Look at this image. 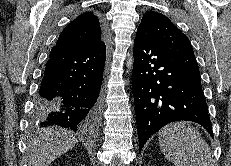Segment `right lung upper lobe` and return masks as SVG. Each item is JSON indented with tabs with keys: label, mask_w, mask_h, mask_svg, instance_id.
Returning <instances> with one entry per match:
<instances>
[{
	"label": "right lung upper lobe",
	"mask_w": 231,
	"mask_h": 166,
	"mask_svg": "<svg viewBox=\"0 0 231 166\" xmlns=\"http://www.w3.org/2000/svg\"><path fill=\"white\" fill-rule=\"evenodd\" d=\"M103 22L93 12H85L69 23L60 34L56 46L88 49L104 43Z\"/></svg>",
	"instance_id": "obj_1"
}]
</instances>
